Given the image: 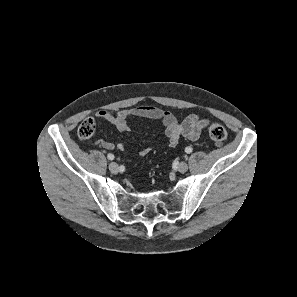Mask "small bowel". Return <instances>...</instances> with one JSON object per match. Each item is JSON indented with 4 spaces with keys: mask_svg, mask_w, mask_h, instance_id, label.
I'll list each match as a JSON object with an SVG mask.
<instances>
[{
    "mask_svg": "<svg viewBox=\"0 0 297 297\" xmlns=\"http://www.w3.org/2000/svg\"><path fill=\"white\" fill-rule=\"evenodd\" d=\"M95 116L98 119L110 122L122 132L129 131L128 120L131 118L157 120L163 126L164 134L170 147H175L181 138H186L191 141L200 139L202 131L207 125V121L196 114H190L179 122L170 112L150 105H140L117 112L102 109L99 110ZM95 143L107 150L125 149L122 143H114L103 139H97ZM150 152L151 148L145 147L139 151V156L144 157Z\"/></svg>",
    "mask_w": 297,
    "mask_h": 297,
    "instance_id": "1",
    "label": "small bowel"
}]
</instances>
